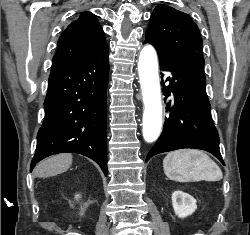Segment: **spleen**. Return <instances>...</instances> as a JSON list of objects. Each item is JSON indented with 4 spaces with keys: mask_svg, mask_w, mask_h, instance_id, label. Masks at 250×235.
I'll use <instances>...</instances> for the list:
<instances>
[{
    "mask_svg": "<svg viewBox=\"0 0 250 235\" xmlns=\"http://www.w3.org/2000/svg\"><path fill=\"white\" fill-rule=\"evenodd\" d=\"M163 169L170 180L177 182L220 181L223 174L219 166L199 150H177L163 160Z\"/></svg>",
    "mask_w": 250,
    "mask_h": 235,
    "instance_id": "spleen-1",
    "label": "spleen"
}]
</instances>
